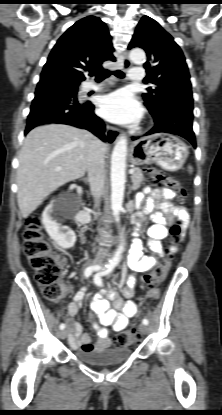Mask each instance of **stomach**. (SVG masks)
Listing matches in <instances>:
<instances>
[{
  "instance_id": "obj_1",
  "label": "stomach",
  "mask_w": 222,
  "mask_h": 415,
  "mask_svg": "<svg viewBox=\"0 0 222 415\" xmlns=\"http://www.w3.org/2000/svg\"><path fill=\"white\" fill-rule=\"evenodd\" d=\"M189 155L187 145L178 137L158 133L133 143L131 161L135 165L157 163L168 171L179 170Z\"/></svg>"
}]
</instances>
